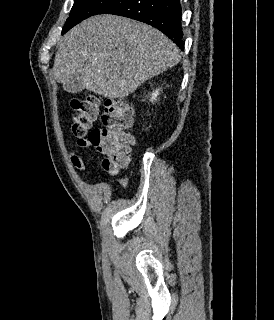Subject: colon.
Wrapping results in <instances>:
<instances>
[{
  "label": "colon",
  "mask_w": 274,
  "mask_h": 320,
  "mask_svg": "<svg viewBox=\"0 0 274 320\" xmlns=\"http://www.w3.org/2000/svg\"><path fill=\"white\" fill-rule=\"evenodd\" d=\"M73 110L72 134H84L91 138L94 148L105 151L107 156L102 161V168L110 175L127 165L132 145L135 143L130 130L133 126V110L122 99L109 100L101 106L99 97L90 95L85 99H71ZM101 127H94L96 121ZM120 183L126 185L125 179Z\"/></svg>",
  "instance_id": "5ec220e1"
}]
</instances>
